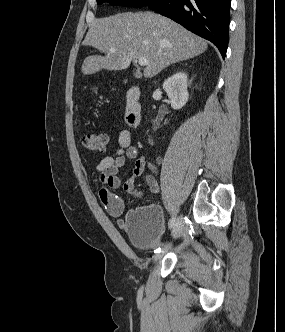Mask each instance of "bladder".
Returning <instances> with one entry per match:
<instances>
[{"label":"bladder","instance_id":"obj_1","mask_svg":"<svg viewBox=\"0 0 285 332\" xmlns=\"http://www.w3.org/2000/svg\"><path fill=\"white\" fill-rule=\"evenodd\" d=\"M124 229L131 244L139 250L147 252L160 250V253H163L175 246L172 242L162 239L164 221L161 209L155 204L130 210L125 217Z\"/></svg>","mask_w":285,"mask_h":332}]
</instances>
